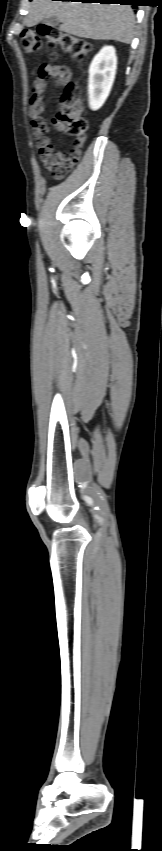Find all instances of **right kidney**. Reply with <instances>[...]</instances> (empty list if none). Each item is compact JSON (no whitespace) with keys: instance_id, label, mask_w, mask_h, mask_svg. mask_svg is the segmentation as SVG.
Segmentation results:
<instances>
[{"instance_id":"1","label":"right kidney","mask_w":162,"mask_h":851,"mask_svg":"<svg viewBox=\"0 0 162 851\" xmlns=\"http://www.w3.org/2000/svg\"><path fill=\"white\" fill-rule=\"evenodd\" d=\"M117 57L113 46H104L89 67V107L96 111L106 101L116 74Z\"/></svg>"}]
</instances>
